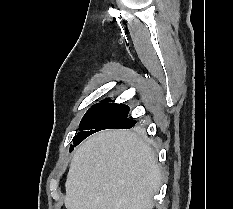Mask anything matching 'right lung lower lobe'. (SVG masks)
I'll return each mask as SVG.
<instances>
[{"mask_svg": "<svg viewBox=\"0 0 233 209\" xmlns=\"http://www.w3.org/2000/svg\"><path fill=\"white\" fill-rule=\"evenodd\" d=\"M111 128L129 129V128L126 127V126H117V127L114 126V127H111ZM107 129H110V128H107ZM94 133H95V132H94ZM88 136H89V135H88ZM88 136H87V137H88ZM85 138H86V137H84L81 141H83ZM81 141H80V142H81ZM80 142H79V143H80Z\"/></svg>", "mask_w": 233, "mask_h": 209, "instance_id": "right-lung-lower-lobe-1", "label": "right lung lower lobe"}]
</instances>
